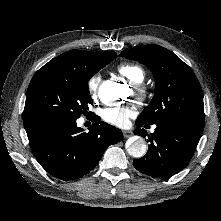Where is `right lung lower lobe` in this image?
Here are the masks:
<instances>
[{
	"instance_id": "right-lung-lower-lobe-1",
	"label": "right lung lower lobe",
	"mask_w": 221,
	"mask_h": 221,
	"mask_svg": "<svg viewBox=\"0 0 221 221\" xmlns=\"http://www.w3.org/2000/svg\"><path fill=\"white\" fill-rule=\"evenodd\" d=\"M24 127L31 150L52 176L73 180L94 169L108 146L118 143L120 129L103 121L93 123L89 132L73 121H30Z\"/></svg>"
}]
</instances>
